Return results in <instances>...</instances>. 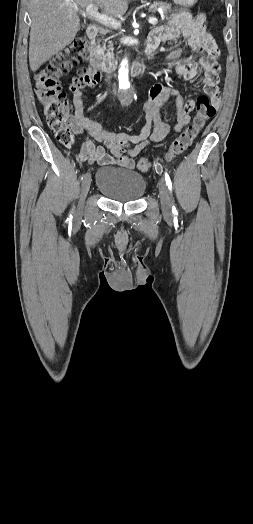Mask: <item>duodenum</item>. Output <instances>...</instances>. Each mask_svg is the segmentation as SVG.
Masks as SVG:
<instances>
[{
  "mask_svg": "<svg viewBox=\"0 0 253 524\" xmlns=\"http://www.w3.org/2000/svg\"><path fill=\"white\" fill-rule=\"evenodd\" d=\"M86 35L89 39V62L94 68L102 69L103 73H112L116 69V62L106 58L96 46V38L98 35V28L96 26H89L86 30ZM144 64L134 62L130 65V70L135 75H141L144 71Z\"/></svg>",
  "mask_w": 253,
  "mask_h": 524,
  "instance_id": "duodenum-1",
  "label": "duodenum"
}]
</instances>
